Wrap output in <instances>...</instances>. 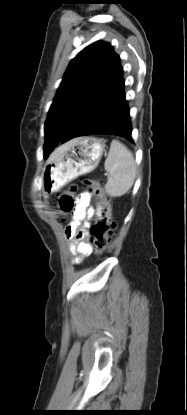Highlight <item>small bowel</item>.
<instances>
[{
	"label": "small bowel",
	"instance_id": "obj_1",
	"mask_svg": "<svg viewBox=\"0 0 187 415\" xmlns=\"http://www.w3.org/2000/svg\"><path fill=\"white\" fill-rule=\"evenodd\" d=\"M91 198L92 196L89 192H83L78 195L72 222L65 228L66 238L70 240V251L75 255L73 259V264L75 265L80 264L92 252L87 238L86 226L79 232H77V228L82 221L87 223L89 220L101 216L100 206H90Z\"/></svg>",
	"mask_w": 187,
	"mask_h": 415
}]
</instances>
